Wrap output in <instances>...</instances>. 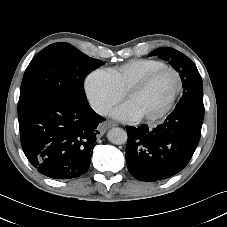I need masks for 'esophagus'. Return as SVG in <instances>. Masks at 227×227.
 <instances>
[{"label":"esophagus","instance_id":"obj_1","mask_svg":"<svg viewBox=\"0 0 227 227\" xmlns=\"http://www.w3.org/2000/svg\"><path fill=\"white\" fill-rule=\"evenodd\" d=\"M108 126H112V127H114V126H117V123L116 122H114V121H109L108 122ZM103 133V131L101 132V134Z\"/></svg>","mask_w":227,"mask_h":227}]
</instances>
